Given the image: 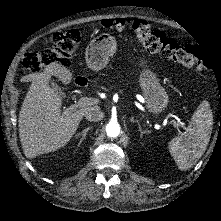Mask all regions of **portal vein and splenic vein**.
Listing matches in <instances>:
<instances>
[{
    "instance_id": "obj_1",
    "label": "portal vein and splenic vein",
    "mask_w": 221,
    "mask_h": 221,
    "mask_svg": "<svg viewBox=\"0 0 221 221\" xmlns=\"http://www.w3.org/2000/svg\"><path fill=\"white\" fill-rule=\"evenodd\" d=\"M98 102H99L98 99L95 98V97H93V98L83 97L79 100V102L76 106H70L69 107V112H72L77 107H87V106H90V105L98 104ZM173 125L175 127L184 128V125L182 123H180L178 120H174Z\"/></svg>"
}]
</instances>
